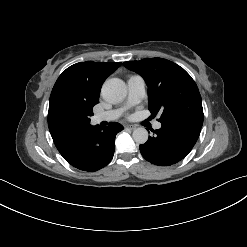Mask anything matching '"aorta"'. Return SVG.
Listing matches in <instances>:
<instances>
[{"instance_id": "obj_1", "label": "aorta", "mask_w": 247, "mask_h": 247, "mask_svg": "<svg viewBox=\"0 0 247 247\" xmlns=\"http://www.w3.org/2000/svg\"><path fill=\"white\" fill-rule=\"evenodd\" d=\"M102 95L110 102L122 101L127 95L125 82L119 78L106 80L102 86ZM132 137L137 144H144L148 140V131L143 127L136 128Z\"/></svg>"}]
</instances>
